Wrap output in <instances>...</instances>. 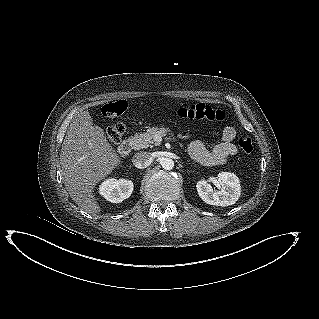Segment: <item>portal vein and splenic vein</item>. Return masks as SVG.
Returning <instances> with one entry per match:
<instances>
[{"mask_svg": "<svg viewBox=\"0 0 319 319\" xmlns=\"http://www.w3.org/2000/svg\"><path fill=\"white\" fill-rule=\"evenodd\" d=\"M155 140H156L157 142H161L162 136H160L159 134H156V135H155Z\"/></svg>", "mask_w": 319, "mask_h": 319, "instance_id": "18ae733b", "label": "portal vein and splenic vein"}]
</instances>
